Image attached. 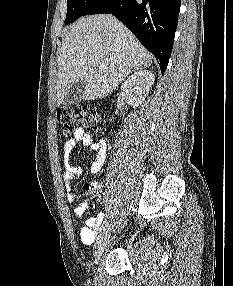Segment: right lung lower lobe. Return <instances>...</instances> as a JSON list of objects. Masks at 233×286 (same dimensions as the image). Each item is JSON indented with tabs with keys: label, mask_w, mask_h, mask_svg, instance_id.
Returning <instances> with one entry per match:
<instances>
[{
	"label": "right lung lower lobe",
	"mask_w": 233,
	"mask_h": 286,
	"mask_svg": "<svg viewBox=\"0 0 233 286\" xmlns=\"http://www.w3.org/2000/svg\"><path fill=\"white\" fill-rule=\"evenodd\" d=\"M180 3L181 0H97L84 15L112 13L155 56L164 74L173 48Z\"/></svg>",
	"instance_id": "1"
}]
</instances>
